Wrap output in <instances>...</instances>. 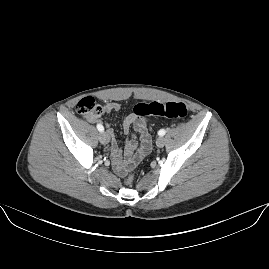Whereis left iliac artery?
I'll list each match as a JSON object with an SVG mask.
<instances>
[{
  "label": "left iliac artery",
  "instance_id": "obj_1",
  "mask_svg": "<svg viewBox=\"0 0 269 269\" xmlns=\"http://www.w3.org/2000/svg\"><path fill=\"white\" fill-rule=\"evenodd\" d=\"M165 133H166V131H165L164 129H160L159 132H158V134H159L160 136H164Z\"/></svg>",
  "mask_w": 269,
  "mask_h": 269
}]
</instances>
